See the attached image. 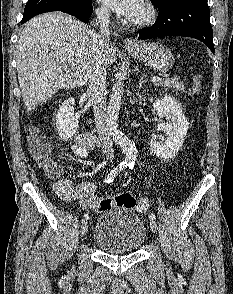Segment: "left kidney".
Segmentation results:
<instances>
[{
    "label": "left kidney",
    "instance_id": "left-kidney-1",
    "mask_svg": "<svg viewBox=\"0 0 233 294\" xmlns=\"http://www.w3.org/2000/svg\"><path fill=\"white\" fill-rule=\"evenodd\" d=\"M153 107L160 117H165L171 122L158 125V131L165 132L168 137L160 141L153 137L150 141L151 151L163 159L174 158L184 142L189 123L180 105L171 96L156 99Z\"/></svg>",
    "mask_w": 233,
    "mask_h": 294
}]
</instances>
